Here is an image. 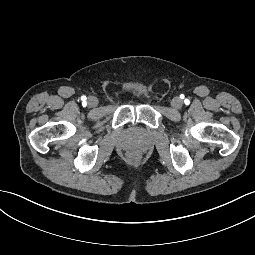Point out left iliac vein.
<instances>
[{"label": "left iliac vein", "mask_w": 255, "mask_h": 255, "mask_svg": "<svg viewBox=\"0 0 255 255\" xmlns=\"http://www.w3.org/2000/svg\"><path fill=\"white\" fill-rule=\"evenodd\" d=\"M171 106L175 109H179L182 106V101L180 98L175 97L171 100Z\"/></svg>", "instance_id": "1"}]
</instances>
